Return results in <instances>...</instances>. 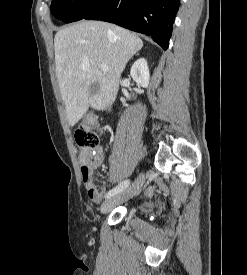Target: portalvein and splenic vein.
<instances>
[{
    "label": "portal vein and splenic vein",
    "mask_w": 247,
    "mask_h": 275,
    "mask_svg": "<svg viewBox=\"0 0 247 275\" xmlns=\"http://www.w3.org/2000/svg\"><path fill=\"white\" fill-rule=\"evenodd\" d=\"M100 69H101V71H103V72H107V71H108V66L105 65V64H102V65H100Z\"/></svg>",
    "instance_id": "18ae733b"
}]
</instances>
